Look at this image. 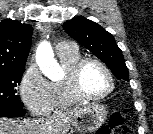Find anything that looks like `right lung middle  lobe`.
Wrapping results in <instances>:
<instances>
[{
  "label": "right lung middle lobe",
  "mask_w": 153,
  "mask_h": 134,
  "mask_svg": "<svg viewBox=\"0 0 153 134\" xmlns=\"http://www.w3.org/2000/svg\"><path fill=\"white\" fill-rule=\"evenodd\" d=\"M25 68L0 69V107L22 108L16 87L21 82Z\"/></svg>",
  "instance_id": "obj_1"
}]
</instances>
